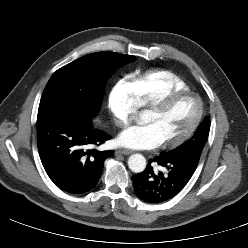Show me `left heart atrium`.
Instances as JSON below:
<instances>
[{"label": "left heart atrium", "mask_w": 248, "mask_h": 248, "mask_svg": "<svg viewBox=\"0 0 248 248\" xmlns=\"http://www.w3.org/2000/svg\"><path fill=\"white\" fill-rule=\"evenodd\" d=\"M117 142L131 149H152L161 144V140L151 124L136 125L122 131Z\"/></svg>", "instance_id": "left-heart-atrium-1"}]
</instances>
